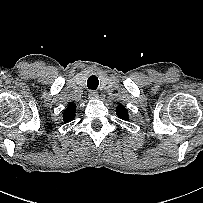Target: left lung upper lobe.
<instances>
[{"mask_svg":"<svg viewBox=\"0 0 203 203\" xmlns=\"http://www.w3.org/2000/svg\"><path fill=\"white\" fill-rule=\"evenodd\" d=\"M116 112L119 118L123 120H128V111L123 105L117 106Z\"/></svg>","mask_w":203,"mask_h":203,"instance_id":"5c2ea615","label":"left lung upper lobe"}]
</instances>
